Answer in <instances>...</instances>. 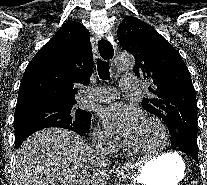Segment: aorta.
Listing matches in <instances>:
<instances>
[{
	"label": "aorta",
	"mask_w": 207,
	"mask_h": 185,
	"mask_svg": "<svg viewBox=\"0 0 207 185\" xmlns=\"http://www.w3.org/2000/svg\"><path fill=\"white\" fill-rule=\"evenodd\" d=\"M115 66L122 71L130 70L134 67V58L129 53H121L115 58Z\"/></svg>",
	"instance_id": "obj_1"
}]
</instances>
